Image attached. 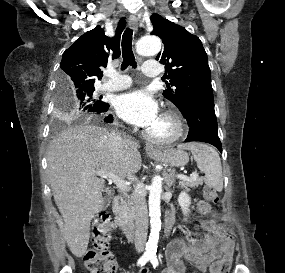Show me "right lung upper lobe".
Here are the masks:
<instances>
[{
	"label": "right lung upper lobe",
	"instance_id": "1",
	"mask_svg": "<svg viewBox=\"0 0 285 273\" xmlns=\"http://www.w3.org/2000/svg\"><path fill=\"white\" fill-rule=\"evenodd\" d=\"M125 23V19L121 18L114 37L106 36L98 25L65 50L60 64L61 76L71 87H91L102 78L100 68L106 67L108 60L120 56V37Z\"/></svg>",
	"mask_w": 285,
	"mask_h": 273
}]
</instances>
